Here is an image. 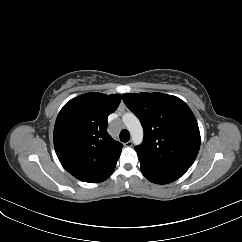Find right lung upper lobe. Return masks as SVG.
<instances>
[{"label":"right lung upper lobe","instance_id":"1","mask_svg":"<svg viewBox=\"0 0 242 242\" xmlns=\"http://www.w3.org/2000/svg\"><path fill=\"white\" fill-rule=\"evenodd\" d=\"M121 95L86 93L59 112L54 147L62 166L84 182H94L115 164L123 145L107 133L108 115L119 106Z\"/></svg>","mask_w":242,"mask_h":242}]
</instances>
